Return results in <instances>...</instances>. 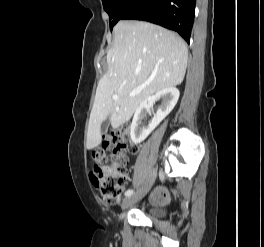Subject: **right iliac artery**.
Segmentation results:
<instances>
[{
    "instance_id": "obj_1",
    "label": "right iliac artery",
    "mask_w": 264,
    "mask_h": 247,
    "mask_svg": "<svg viewBox=\"0 0 264 247\" xmlns=\"http://www.w3.org/2000/svg\"><path fill=\"white\" fill-rule=\"evenodd\" d=\"M132 194H133V190L130 189L125 192V196H130Z\"/></svg>"
}]
</instances>
